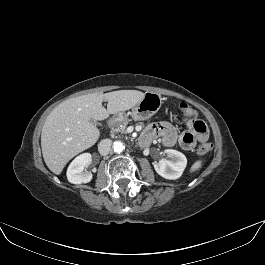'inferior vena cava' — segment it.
I'll return each instance as SVG.
<instances>
[{
  "mask_svg": "<svg viewBox=\"0 0 265 265\" xmlns=\"http://www.w3.org/2000/svg\"><path fill=\"white\" fill-rule=\"evenodd\" d=\"M111 145L112 141L110 139H103L98 145L99 153L103 156L108 155Z\"/></svg>",
  "mask_w": 265,
  "mask_h": 265,
  "instance_id": "602c4592",
  "label": "inferior vena cava"
}]
</instances>
